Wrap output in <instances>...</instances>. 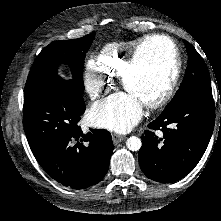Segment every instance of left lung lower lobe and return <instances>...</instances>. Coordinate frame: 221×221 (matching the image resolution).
Segmentation results:
<instances>
[{"label":"left lung lower lobe","mask_w":221,"mask_h":221,"mask_svg":"<svg viewBox=\"0 0 221 221\" xmlns=\"http://www.w3.org/2000/svg\"><path fill=\"white\" fill-rule=\"evenodd\" d=\"M215 124L212 96L196 94L152 121L142 136L139 164L150 179L170 183L189 174L202 158ZM161 131L157 136L154 131Z\"/></svg>","instance_id":"0a47b994"}]
</instances>
